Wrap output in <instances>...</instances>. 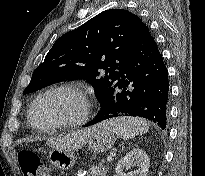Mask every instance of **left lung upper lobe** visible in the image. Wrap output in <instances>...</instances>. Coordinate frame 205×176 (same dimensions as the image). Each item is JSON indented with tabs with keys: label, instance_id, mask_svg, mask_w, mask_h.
I'll list each match as a JSON object with an SVG mask.
<instances>
[{
	"label": "left lung upper lobe",
	"instance_id": "obj_1",
	"mask_svg": "<svg viewBox=\"0 0 205 176\" xmlns=\"http://www.w3.org/2000/svg\"><path fill=\"white\" fill-rule=\"evenodd\" d=\"M145 28L142 20L127 10L101 12L56 40L44 62L34 70L23 93L64 79H84L102 100L116 82L123 60ZM101 69L105 70V76H101Z\"/></svg>",
	"mask_w": 205,
	"mask_h": 176
}]
</instances>
